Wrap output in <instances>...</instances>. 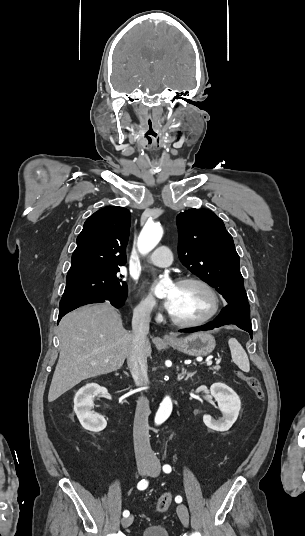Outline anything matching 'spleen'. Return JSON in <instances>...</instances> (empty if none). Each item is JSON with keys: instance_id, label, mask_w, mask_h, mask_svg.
I'll return each mask as SVG.
<instances>
[{"instance_id": "obj_1", "label": "spleen", "mask_w": 305, "mask_h": 536, "mask_svg": "<svg viewBox=\"0 0 305 536\" xmlns=\"http://www.w3.org/2000/svg\"><path fill=\"white\" fill-rule=\"evenodd\" d=\"M228 344L234 364H236V366H238L242 372H250L248 356L245 350H243L241 344L237 342L236 338H229Z\"/></svg>"}]
</instances>
